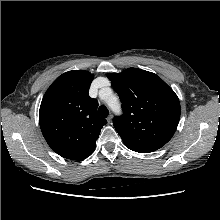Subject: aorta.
Returning <instances> with one entry per match:
<instances>
[{
    "mask_svg": "<svg viewBox=\"0 0 220 220\" xmlns=\"http://www.w3.org/2000/svg\"><path fill=\"white\" fill-rule=\"evenodd\" d=\"M106 90L111 91L110 89H106ZM112 99H114L115 102L112 103V102H111ZM108 105L110 106V108H111L114 112H116V113L119 112L120 107H119V104H118L117 99H116L115 97H112V98L108 101Z\"/></svg>",
    "mask_w": 220,
    "mask_h": 220,
    "instance_id": "aorta-1",
    "label": "aorta"
}]
</instances>
